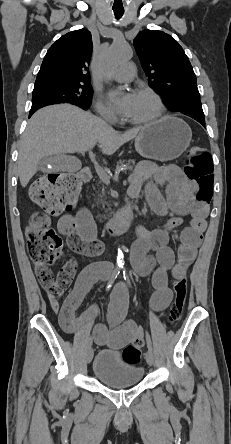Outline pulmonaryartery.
<instances>
[{"instance_id": "e3ab8cb5", "label": "pulmonary artery", "mask_w": 231, "mask_h": 444, "mask_svg": "<svg viewBox=\"0 0 231 444\" xmlns=\"http://www.w3.org/2000/svg\"><path fill=\"white\" fill-rule=\"evenodd\" d=\"M136 75L135 65L133 63H124L118 69H116L112 78L117 82L131 81Z\"/></svg>"}]
</instances>
